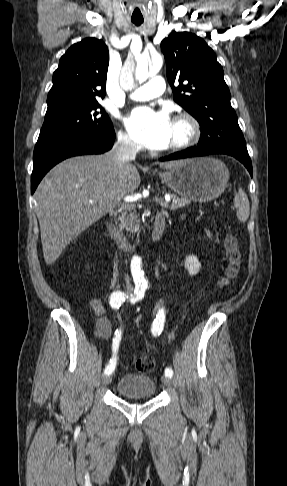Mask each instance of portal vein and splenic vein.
Listing matches in <instances>:
<instances>
[{"label":"portal vein and splenic vein","mask_w":287,"mask_h":486,"mask_svg":"<svg viewBox=\"0 0 287 486\" xmlns=\"http://www.w3.org/2000/svg\"><path fill=\"white\" fill-rule=\"evenodd\" d=\"M124 200L126 202H131L133 200V198H131V197H125ZM153 200L156 203H158L160 206L167 207L168 206V203L170 201V198L168 197V198L163 199L161 197L156 196V197L153 198ZM91 203H92V201H91Z\"/></svg>","instance_id":"obj_1"}]
</instances>
